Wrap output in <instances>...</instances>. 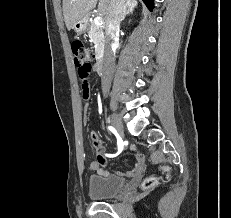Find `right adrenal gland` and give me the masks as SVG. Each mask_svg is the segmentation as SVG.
Segmentation results:
<instances>
[{
	"label": "right adrenal gland",
	"instance_id": "obj_1",
	"mask_svg": "<svg viewBox=\"0 0 231 218\" xmlns=\"http://www.w3.org/2000/svg\"><path fill=\"white\" fill-rule=\"evenodd\" d=\"M134 11V7H132L129 3V0H127L126 6H125V13L122 18V21L126 18L127 15H131Z\"/></svg>",
	"mask_w": 231,
	"mask_h": 218
}]
</instances>
